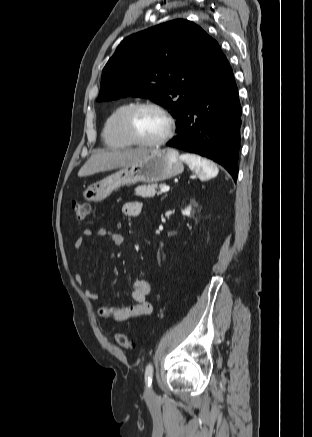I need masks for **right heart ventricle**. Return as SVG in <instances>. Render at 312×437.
I'll list each match as a JSON object with an SVG mask.
<instances>
[{
    "mask_svg": "<svg viewBox=\"0 0 312 437\" xmlns=\"http://www.w3.org/2000/svg\"><path fill=\"white\" fill-rule=\"evenodd\" d=\"M132 105L130 102L122 103L107 116L103 125L102 138L108 147L122 149L133 145L122 129L123 116Z\"/></svg>",
    "mask_w": 312,
    "mask_h": 437,
    "instance_id": "e07e8e85",
    "label": "right heart ventricle"
}]
</instances>
